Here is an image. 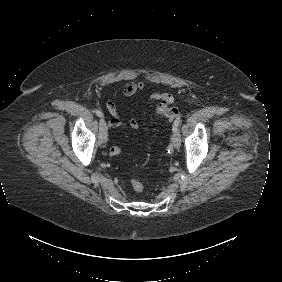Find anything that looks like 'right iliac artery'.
Here are the masks:
<instances>
[{
  "label": "right iliac artery",
  "instance_id": "obj_1",
  "mask_svg": "<svg viewBox=\"0 0 282 282\" xmlns=\"http://www.w3.org/2000/svg\"><path fill=\"white\" fill-rule=\"evenodd\" d=\"M95 113H96V115L98 117H102L103 116V113L100 110H96Z\"/></svg>",
  "mask_w": 282,
  "mask_h": 282
}]
</instances>
